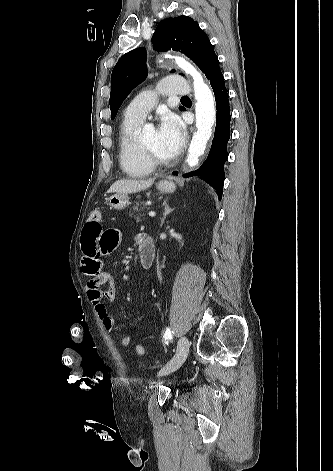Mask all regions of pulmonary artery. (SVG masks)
I'll return each mask as SVG.
<instances>
[{
    "label": "pulmonary artery",
    "mask_w": 333,
    "mask_h": 471,
    "mask_svg": "<svg viewBox=\"0 0 333 471\" xmlns=\"http://www.w3.org/2000/svg\"><path fill=\"white\" fill-rule=\"evenodd\" d=\"M191 91L187 80L179 75L168 76L158 84V92L164 95H188ZM156 101L153 91H145L135 97L125 108L124 116L129 119L143 120Z\"/></svg>",
    "instance_id": "pulmonary-artery-1"
}]
</instances>
